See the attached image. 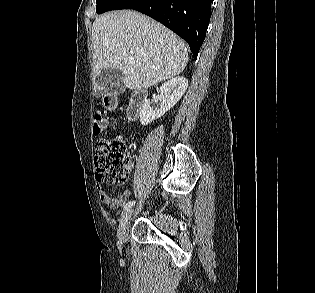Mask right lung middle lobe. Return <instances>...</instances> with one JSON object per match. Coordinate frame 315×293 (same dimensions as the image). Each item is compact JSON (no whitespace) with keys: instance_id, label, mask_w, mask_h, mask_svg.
I'll list each match as a JSON object with an SVG mask.
<instances>
[{"instance_id":"obj_1","label":"right lung middle lobe","mask_w":315,"mask_h":293,"mask_svg":"<svg viewBox=\"0 0 315 293\" xmlns=\"http://www.w3.org/2000/svg\"><path fill=\"white\" fill-rule=\"evenodd\" d=\"M116 1L117 0H96V12L101 14L108 11Z\"/></svg>"}]
</instances>
